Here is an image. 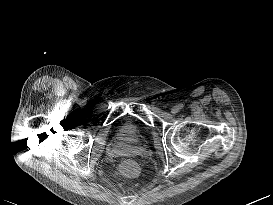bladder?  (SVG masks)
I'll list each match as a JSON object with an SVG mask.
<instances>
[{
	"instance_id": "bladder-1",
	"label": "bladder",
	"mask_w": 273,
	"mask_h": 205,
	"mask_svg": "<svg viewBox=\"0 0 273 205\" xmlns=\"http://www.w3.org/2000/svg\"><path fill=\"white\" fill-rule=\"evenodd\" d=\"M116 136L124 144L135 145L140 141L141 133L137 126L120 122L116 129Z\"/></svg>"
}]
</instances>
